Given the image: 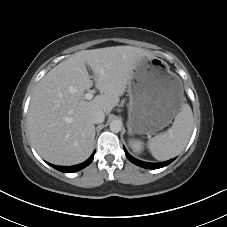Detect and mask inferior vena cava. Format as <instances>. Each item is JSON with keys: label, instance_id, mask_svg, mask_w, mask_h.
Masks as SVG:
<instances>
[{"label": "inferior vena cava", "instance_id": "obj_1", "mask_svg": "<svg viewBox=\"0 0 227 227\" xmlns=\"http://www.w3.org/2000/svg\"><path fill=\"white\" fill-rule=\"evenodd\" d=\"M104 119H105V115L102 110L97 109L92 112L91 121L94 124L102 123L104 121Z\"/></svg>", "mask_w": 227, "mask_h": 227}]
</instances>
